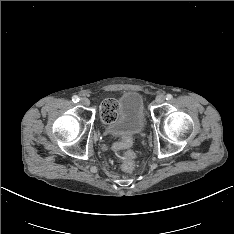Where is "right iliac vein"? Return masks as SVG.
<instances>
[{
  "label": "right iliac vein",
  "instance_id": "right-iliac-vein-1",
  "mask_svg": "<svg viewBox=\"0 0 234 234\" xmlns=\"http://www.w3.org/2000/svg\"><path fill=\"white\" fill-rule=\"evenodd\" d=\"M80 103L83 105V106H89L90 105V101L88 98L86 97H83L80 99Z\"/></svg>",
  "mask_w": 234,
  "mask_h": 234
}]
</instances>
